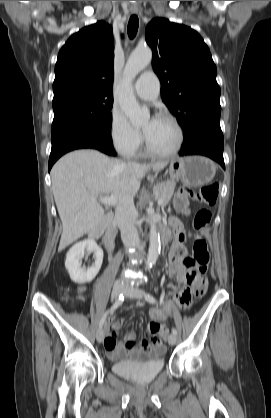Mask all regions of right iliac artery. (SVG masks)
Listing matches in <instances>:
<instances>
[{
	"instance_id": "1",
	"label": "right iliac artery",
	"mask_w": 271,
	"mask_h": 418,
	"mask_svg": "<svg viewBox=\"0 0 271 418\" xmlns=\"http://www.w3.org/2000/svg\"><path fill=\"white\" fill-rule=\"evenodd\" d=\"M124 298L125 295L121 294L116 300V302L111 306V308L104 313L103 317L100 320L99 328H102V326L104 325L107 315L112 314L119 306L122 305V303L124 302Z\"/></svg>"
}]
</instances>
